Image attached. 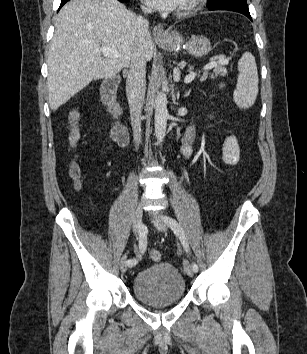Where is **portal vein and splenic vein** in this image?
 <instances>
[{"mask_svg": "<svg viewBox=\"0 0 307 354\" xmlns=\"http://www.w3.org/2000/svg\"><path fill=\"white\" fill-rule=\"evenodd\" d=\"M102 54L104 57H108V58H119L120 54L119 52L111 47H107V46H102L100 48ZM217 64H228V60L227 59H220L218 62H210L209 64H207L204 69H212L215 65ZM196 77V73L192 72L190 74H188L185 78H184V82L185 83H190L191 81H193ZM179 76L175 78V80H178Z\"/></svg>", "mask_w": 307, "mask_h": 354, "instance_id": "18ae733b", "label": "portal vein and splenic vein"}]
</instances>
